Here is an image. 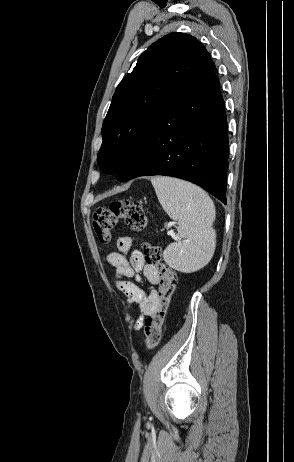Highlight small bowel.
<instances>
[{"label": "small bowel", "mask_w": 294, "mask_h": 462, "mask_svg": "<svg viewBox=\"0 0 294 462\" xmlns=\"http://www.w3.org/2000/svg\"><path fill=\"white\" fill-rule=\"evenodd\" d=\"M117 251L111 252L107 256V261L115 267L116 286L127 297L128 304H137L141 318L136 322L135 329L142 325V318L150 316L157 305V291L151 288L146 291L139 286L144 277L151 285L158 284V276L154 266L148 265L144 261L143 254L138 250L131 251L132 238L121 236L118 238ZM128 279H133L130 281Z\"/></svg>", "instance_id": "c3829d8e"}]
</instances>
